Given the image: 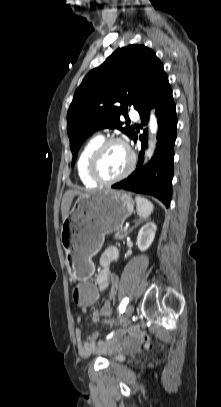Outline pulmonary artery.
I'll return each instance as SVG.
<instances>
[{
	"instance_id": "pulmonary-artery-1",
	"label": "pulmonary artery",
	"mask_w": 221,
	"mask_h": 407,
	"mask_svg": "<svg viewBox=\"0 0 221 407\" xmlns=\"http://www.w3.org/2000/svg\"><path fill=\"white\" fill-rule=\"evenodd\" d=\"M130 117H131L132 119H134V120H137V119L139 118V114H138L137 111L131 110V112H130Z\"/></svg>"
}]
</instances>
